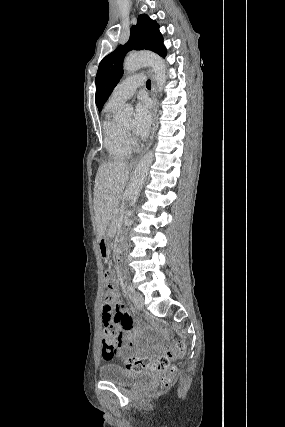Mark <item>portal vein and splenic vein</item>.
<instances>
[{
	"mask_svg": "<svg viewBox=\"0 0 285 427\" xmlns=\"http://www.w3.org/2000/svg\"><path fill=\"white\" fill-rule=\"evenodd\" d=\"M114 213H118V210H115Z\"/></svg>",
	"mask_w": 285,
	"mask_h": 427,
	"instance_id": "1",
	"label": "portal vein and splenic vein"
}]
</instances>
